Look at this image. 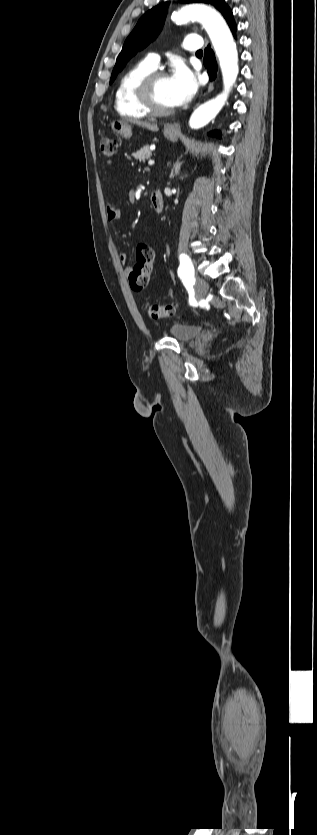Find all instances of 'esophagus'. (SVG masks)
<instances>
[{"label":"esophagus","mask_w":317,"mask_h":835,"mask_svg":"<svg viewBox=\"0 0 317 835\" xmlns=\"http://www.w3.org/2000/svg\"><path fill=\"white\" fill-rule=\"evenodd\" d=\"M212 85H213L212 83H210L208 85V90H210L212 88ZM166 130L170 131V132H178L180 130V123L179 122H174L172 124H169L166 127Z\"/></svg>","instance_id":"34e87169"}]
</instances>
